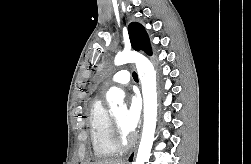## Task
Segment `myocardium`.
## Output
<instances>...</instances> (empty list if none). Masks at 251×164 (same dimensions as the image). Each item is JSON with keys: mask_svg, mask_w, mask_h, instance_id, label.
<instances>
[{"mask_svg": "<svg viewBox=\"0 0 251 164\" xmlns=\"http://www.w3.org/2000/svg\"><path fill=\"white\" fill-rule=\"evenodd\" d=\"M110 117L113 129V137L117 147L119 149L128 148L132 144L133 138L131 135L122 130L113 115H110Z\"/></svg>", "mask_w": 251, "mask_h": 164, "instance_id": "1", "label": "myocardium"}]
</instances>
